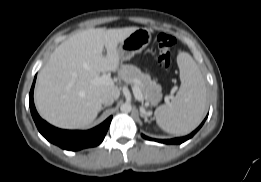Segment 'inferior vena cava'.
I'll return each mask as SVG.
<instances>
[{
    "mask_svg": "<svg viewBox=\"0 0 261 182\" xmlns=\"http://www.w3.org/2000/svg\"><path fill=\"white\" fill-rule=\"evenodd\" d=\"M101 102L104 105H112L114 102V97L112 95L106 94L101 98Z\"/></svg>",
    "mask_w": 261,
    "mask_h": 182,
    "instance_id": "1",
    "label": "inferior vena cava"
}]
</instances>
